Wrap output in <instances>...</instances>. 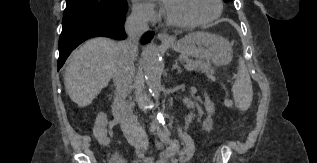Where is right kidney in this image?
<instances>
[{
    "instance_id": "right-kidney-1",
    "label": "right kidney",
    "mask_w": 317,
    "mask_h": 163,
    "mask_svg": "<svg viewBox=\"0 0 317 163\" xmlns=\"http://www.w3.org/2000/svg\"><path fill=\"white\" fill-rule=\"evenodd\" d=\"M108 120L107 115L103 112H100L97 115L95 126L93 128V135L99 142V144L107 146L110 142L109 138L107 137V126Z\"/></svg>"
}]
</instances>
